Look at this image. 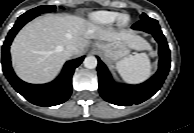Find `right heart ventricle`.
Segmentation results:
<instances>
[{
	"label": "right heart ventricle",
	"instance_id": "obj_1",
	"mask_svg": "<svg viewBox=\"0 0 194 133\" xmlns=\"http://www.w3.org/2000/svg\"><path fill=\"white\" fill-rule=\"evenodd\" d=\"M120 13L116 11H97L91 15V20L102 26H110L118 21Z\"/></svg>",
	"mask_w": 194,
	"mask_h": 133
}]
</instances>
